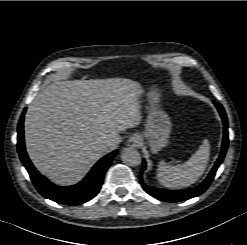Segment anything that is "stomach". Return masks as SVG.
<instances>
[{
  "instance_id": "stomach-1",
  "label": "stomach",
  "mask_w": 247,
  "mask_h": 245,
  "mask_svg": "<svg viewBox=\"0 0 247 245\" xmlns=\"http://www.w3.org/2000/svg\"><path fill=\"white\" fill-rule=\"evenodd\" d=\"M147 120L143 137L151 147L152 153H157L169 143L172 122L168 114L162 109V89L158 84H150L147 91Z\"/></svg>"
}]
</instances>
